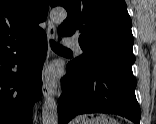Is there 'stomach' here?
Returning a JSON list of instances; mask_svg holds the SVG:
<instances>
[{"instance_id":"1","label":"stomach","mask_w":156,"mask_h":124,"mask_svg":"<svg viewBox=\"0 0 156 124\" xmlns=\"http://www.w3.org/2000/svg\"><path fill=\"white\" fill-rule=\"evenodd\" d=\"M71 124H116L105 115L88 119L87 117H78Z\"/></svg>"}]
</instances>
